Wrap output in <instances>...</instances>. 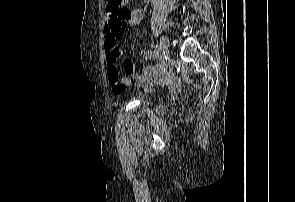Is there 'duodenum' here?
Instances as JSON below:
<instances>
[{
	"mask_svg": "<svg viewBox=\"0 0 295 202\" xmlns=\"http://www.w3.org/2000/svg\"><path fill=\"white\" fill-rule=\"evenodd\" d=\"M143 1H145V2H149L150 0H143Z\"/></svg>",
	"mask_w": 295,
	"mask_h": 202,
	"instance_id": "410a0bca",
	"label": "duodenum"
}]
</instances>
